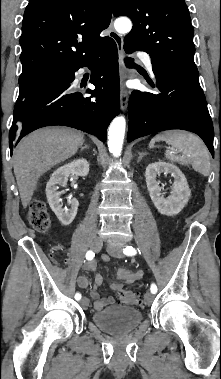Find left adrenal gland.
<instances>
[{
	"label": "left adrenal gland",
	"instance_id": "obj_1",
	"mask_svg": "<svg viewBox=\"0 0 221 379\" xmlns=\"http://www.w3.org/2000/svg\"><path fill=\"white\" fill-rule=\"evenodd\" d=\"M144 156H146V153H139V157H138L137 162L139 163Z\"/></svg>",
	"mask_w": 221,
	"mask_h": 379
}]
</instances>
